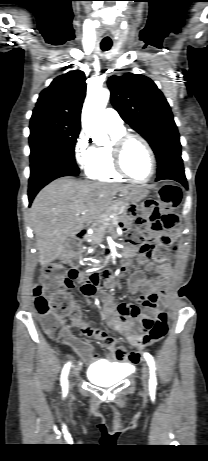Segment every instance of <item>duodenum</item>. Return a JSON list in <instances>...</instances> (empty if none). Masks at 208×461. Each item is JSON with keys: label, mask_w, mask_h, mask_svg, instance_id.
<instances>
[{"label": "duodenum", "mask_w": 208, "mask_h": 461, "mask_svg": "<svg viewBox=\"0 0 208 461\" xmlns=\"http://www.w3.org/2000/svg\"><path fill=\"white\" fill-rule=\"evenodd\" d=\"M77 239L80 241V242H84L86 241V239L88 238L89 236V232L88 230L86 229H82L80 230L78 233H77ZM113 281V280H112Z\"/></svg>", "instance_id": "obj_1"}]
</instances>
